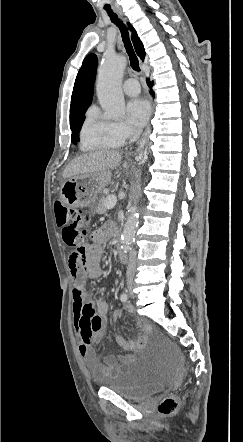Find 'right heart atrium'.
Instances as JSON below:
<instances>
[{"label": "right heart atrium", "mask_w": 243, "mask_h": 442, "mask_svg": "<svg viewBox=\"0 0 243 442\" xmlns=\"http://www.w3.org/2000/svg\"><path fill=\"white\" fill-rule=\"evenodd\" d=\"M109 127L112 135L119 142H124L137 135L136 130L131 125H129L127 122L124 121L110 122Z\"/></svg>", "instance_id": "right-heart-atrium-1"}]
</instances>
